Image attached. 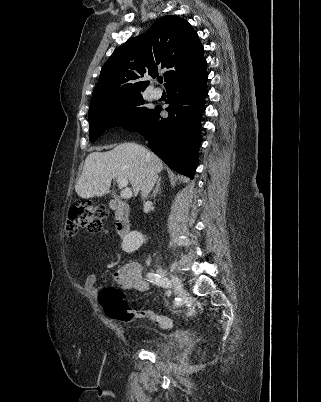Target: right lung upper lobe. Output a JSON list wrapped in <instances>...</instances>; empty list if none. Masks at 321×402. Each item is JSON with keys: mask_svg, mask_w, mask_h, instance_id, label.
Segmentation results:
<instances>
[{"mask_svg": "<svg viewBox=\"0 0 321 402\" xmlns=\"http://www.w3.org/2000/svg\"><path fill=\"white\" fill-rule=\"evenodd\" d=\"M206 64L203 46L191 25L178 16H164L149 31L130 38L103 65L90 107L141 93L142 77L164 73L165 87L177 77Z\"/></svg>", "mask_w": 321, "mask_h": 402, "instance_id": "cb5924a9", "label": "right lung upper lobe"}]
</instances>
